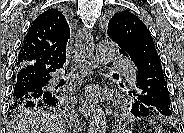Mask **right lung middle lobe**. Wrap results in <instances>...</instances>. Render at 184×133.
I'll return each instance as SVG.
<instances>
[{"label":"right lung middle lobe","mask_w":184,"mask_h":133,"mask_svg":"<svg viewBox=\"0 0 184 133\" xmlns=\"http://www.w3.org/2000/svg\"><path fill=\"white\" fill-rule=\"evenodd\" d=\"M39 107H43V106H36V105L30 106V105H26L24 103H17L16 104L12 101L10 109H12V112L14 111L18 115H20V114H24L26 112L36 111V110H38Z\"/></svg>","instance_id":"dd1d6c3e"}]
</instances>
